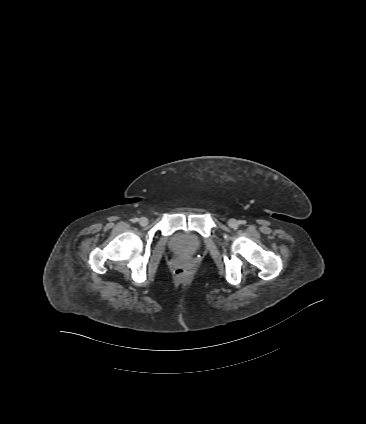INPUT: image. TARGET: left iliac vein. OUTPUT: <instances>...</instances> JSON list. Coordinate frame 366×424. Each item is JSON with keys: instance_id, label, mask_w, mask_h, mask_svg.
Returning a JSON list of instances; mask_svg holds the SVG:
<instances>
[{"instance_id": "4c4485c4", "label": "left iliac vein", "mask_w": 366, "mask_h": 424, "mask_svg": "<svg viewBox=\"0 0 366 424\" xmlns=\"http://www.w3.org/2000/svg\"><path fill=\"white\" fill-rule=\"evenodd\" d=\"M228 225H229L231 228H237V227H238V222H237V220H235V219H230V220L228 221Z\"/></svg>"}]
</instances>
